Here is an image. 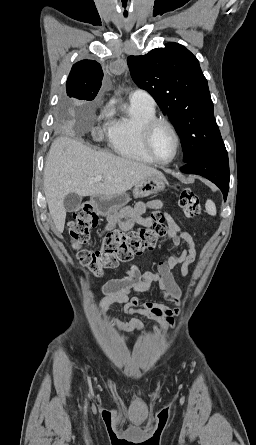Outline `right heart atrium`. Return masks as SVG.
Instances as JSON below:
<instances>
[{"instance_id": "1", "label": "right heart atrium", "mask_w": 256, "mask_h": 445, "mask_svg": "<svg viewBox=\"0 0 256 445\" xmlns=\"http://www.w3.org/2000/svg\"><path fill=\"white\" fill-rule=\"evenodd\" d=\"M107 113H108V111H107V109H105L102 113H101V115H100V119H105L106 117H107ZM108 127V126H107Z\"/></svg>"}]
</instances>
